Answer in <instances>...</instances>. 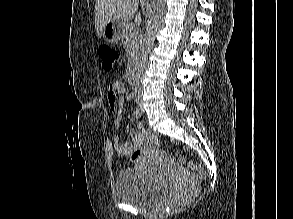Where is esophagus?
Returning <instances> with one entry per match:
<instances>
[{
    "instance_id": "obj_1",
    "label": "esophagus",
    "mask_w": 293,
    "mask_h": 219,
    "mask_svg": "<svg viewBox=\"0 0 293 219\" xmlns=\"http://www.w3.org/2000/svg\"><path fill=\"white\" fill-rule=\"evenodd\" d=\"M143 3H146V4H149L150 3V0H142Z\"/></svg>"
}]
</instances>
